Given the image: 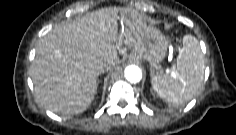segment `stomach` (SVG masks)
Segmentation results:
<instances>
[{"label":"stomach","mask_w":236,"mask_h":135,"mask_svg":"<svg viewBox=\"0 0 236 135\" xmlns=\"http://www.w3.org/2000/svg\"><path fill=\"white\" fill-rule=\"evenodd\" d=\"M121 20L132 22V12H121ZM169 42L167 38L156 28L147 27L141 35L140 46L137 50H132L130 58L147 61L150 65L151 77L160 73L161 62L164 60Z\"/></svg>","instance_id":"0dacf381"}]
</instances>
